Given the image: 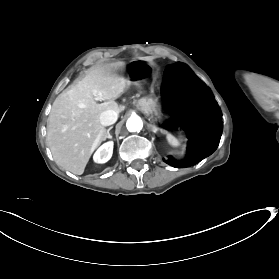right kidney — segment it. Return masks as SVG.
<instances>
[{"instance_id": "obj_1", "label": "right kidney", "mask_w": 279, "mask_h": 279, "mask_svg": "<svg viewBox=\"0 0 279 279\" xmlns=\"http://www.w3.org/2000/svg\"><path fill=\"white\" fill-rule=\"evenodd\" d=\"M112 148H113L112 142H108L102 145L94 155V160L98 163L106 162L107 160L110 159L112 155Z\"/></svg>"}]
</instances>
